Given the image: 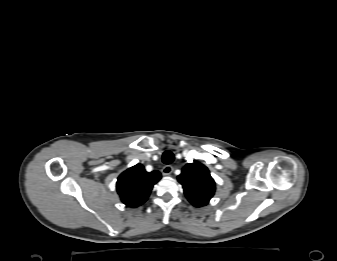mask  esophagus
Masks as SVG:
<instances>
[{"label": "esophagus", "instance_id": "1", "mask_svg": "<svg viewBox=\"0 0 337 261\" xmlns=\"http://www.w3.org/2000/svg\"><path fill=\"white\" fill-rule=\"evenodd\" d=\"M173 167L171 165H165L161 172L164 176H169L173 172Z\"/></svg>", "mask_w": 337, "mask_h": 261}]
</instances>
